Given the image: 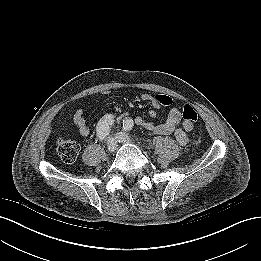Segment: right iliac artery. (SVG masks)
Instances as JSON below:
<instances>
[{"label":"right iliac artery","mask_w":261,"mask_h":261,"mask_svg":"<svg viewBox=\"0 0 261 261\" xmlns=\"http://www.w3.org/2000/svg\"><path fill=\"white\" fill-rule=\"evenodd\" d=\"M114 123V117L113 115L109 114L104 116L97 125V137L100 139V141H104L107 138V135L110 132V127Z\"/></svg>","instance_id":"1"}]
</instances>
